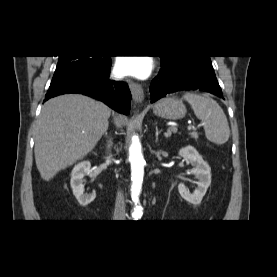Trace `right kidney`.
I'll list each match as a JSON object with an SVG mask.
<instances>
[{
    "label": "right kidney",
    "instance_id": "1",
    "mask_svg": "<svg viewBox=\"0 0 277 277\" xmlns=\"http://www.w3.org/2000/svg\"><path fill=\"white\" fill-rule=\"evenodd\" d=\"M91 163L89 161H83L74 166L71 172L70 185L74 196L78 200L81 206H87L96 197L95 192L92 194H84V176L90 173Z\"/></svg>",
    "mask_w": 277,
    "mask_h": 277
}]
</instances>
